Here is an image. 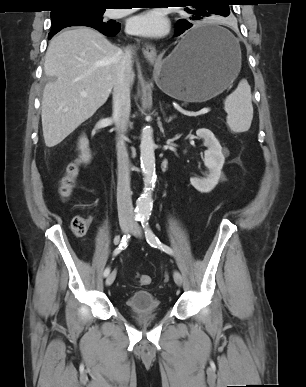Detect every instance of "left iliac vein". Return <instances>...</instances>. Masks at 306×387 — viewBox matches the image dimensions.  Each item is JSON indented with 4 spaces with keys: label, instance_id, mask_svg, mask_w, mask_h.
<instances>
[{
    "label": "left iliac vein",
    "instance_id": "1",
    "mask_svg": "<svg viewBox=\"0 0 306 387\" xmlns=\"http://www.w3.org/2000/svg\"><path fill=\"white\" fill-rule=\"evenodd\" d=\"M131 233L134 236L140 237L142 235V229H141V227L138 224L134 223L132 228H131ZM173 278H174L175 283L178 286L182 285L183 278H182V275L178 271L174 272Z\"/></svg>",
    "mask_w": 306,
    "mask_h": 387
}]
</instances>
